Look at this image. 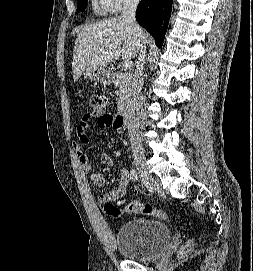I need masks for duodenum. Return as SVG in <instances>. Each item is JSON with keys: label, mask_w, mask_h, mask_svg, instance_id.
Returning a JSON list of instances; mask_svg holds the SVG:
<instances>
[{"label": "duodenum", "mask_w": 253, "mask_h": 271, "mask_svg": "<svg viewBox=\"0 0 253 271\" xmlns=\"http://www.w3.org/2000/svg\"><path fill=\"white\" fill-rule=\"evenodd\" d=\"M115 124L118 128H125L130 122V114L126 108H120L114 118Z\"/></svg>", "instance_id": "duodenum-1"}]
</instances>
